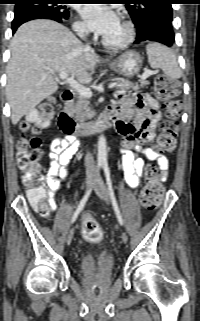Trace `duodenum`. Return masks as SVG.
<instances>
[{"mask_svg":"<svg viewBox=\"0 0 200 321\" xmlns=\"http://www.w3.org/2000/svg\"><path fill=\"white\" fill-rule=\"evenodd\" d=\"M63 104L68 107L74 100V93L71 90H65L61 95ZM118 119V114L109 109L100 118L86 123H76L67 110H62L58 115V124L62 131L69 135L84 136L95 134L101 130L114 126Z\"/></svg>","mask_w":200,"mask_h":321,"instance_id":"obj_1","label":"duodenum"}]
</instances>
